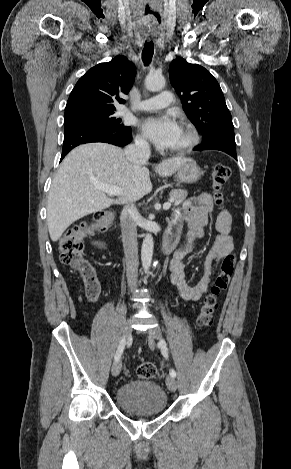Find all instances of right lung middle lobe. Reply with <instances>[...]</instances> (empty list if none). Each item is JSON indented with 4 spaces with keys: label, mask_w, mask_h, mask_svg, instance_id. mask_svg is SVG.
<instances>
[{
    "label": "right lung middle lobe",
    "mask_w": 291,
    "mask_h": 469,
    "mask_svg": "<svg viewBox=\"0 0 291 469\" xmlns=\"http://www.w3.org/2000/svg\"><path fill=\"white\" fill-rule=\"evenodd\" d=\"M115 109H92L64 115V127L78 124H89L103 127H125L121 119H116L113 114Z\"/></svg>",
    "instance_id": "1"
}]
</instances>
